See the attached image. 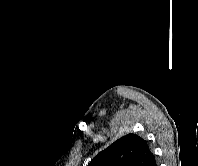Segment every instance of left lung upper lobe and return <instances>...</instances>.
I'll list each match as a JSON object with an SVG mask.
<instances>
[{"label":"left lung upper lobe","mask_w":198,"mask_h":166,"mask_svg":"<svg viewBox=\"0 0 198 166\" xmlns=\"http://www.w3.org/2000/svg\"><path fill=\"white\" fill-rule=\"evenodd\" d=\"M154 162L147 141L128 134L101 151L88 166H152Z\"/></svg>","instance_id":"obj_1"}]
</instances>
